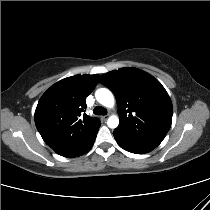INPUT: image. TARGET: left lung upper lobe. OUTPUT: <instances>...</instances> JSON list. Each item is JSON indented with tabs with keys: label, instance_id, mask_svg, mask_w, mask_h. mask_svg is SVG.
Wrapping results in <instances>:
<instances>
[{
	"label": "left lung upper lobe",
	"instance_id": "left-lung-upper-lobe-1",
	"mask_svg": "<svg viewBox=\"0 0 210 210\" xmlns=\"http://www.w3.org/2000/svg\"><path fill=\"white\" fill-rule=\"evenodd\" d=\"M99 82L111 89L117 100L120 124L114 137L157 147L171 127L173 112L161 83L137 68L108 72Z\"/></svg>",
	"mask_w": 210,
	"mask_h": 210
}]
</instances>
